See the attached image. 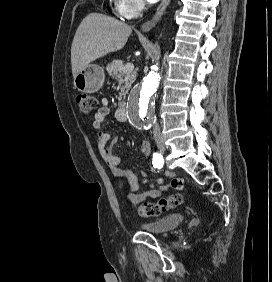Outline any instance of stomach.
Returning <instances> with one entry per match:
<instances>
[{
  "instance_id": "stomach-1",
  "label": "stomach",
  "mask_w": 272,
  "mask_h": 282,
  "mask_svg": "<svg viewBox=\"0 0 272 282\" xmlns=\"http://www.w3.org/2000/svg\"><path fill=\"white\" fill-rule=\"evenodd\" d=\"M105 80L104 69L97 64H89L74 78V86L84 93H95L103 85Z\"/></svg>"
}]
</instances>
